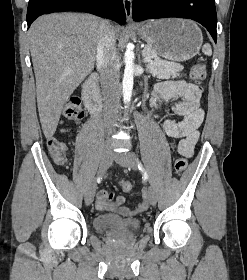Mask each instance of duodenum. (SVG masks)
Instances as JSON below:
<instances>
[{"label":"duodenum","mask_w":247,"mask_h":280,"mask_svg":"<svg viewBox=\"0 0 247 280\" xmlns=\"http://www.w3.org/2000/svg\"><path fill=\"white\" fill-rule=\"evenodd\" d=\"M83 101L93 116H97L101 110L100 92L97 77L92 76L83 86Z\"/></svg>","instance_id":"410a0bca"}]
</instances>
